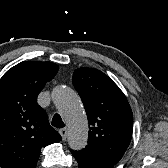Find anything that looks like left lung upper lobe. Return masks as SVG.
I'll return each mask as SVG.
<instances>
[{
    "label": "left lung upper lobe",
    "mask_w": 168,
    "mask_h": 168,
    "mask_svg": "<svg viewBox=\"0 0 168 168\" xmlns=\"http://www.w3.org/2000/svg\"><path fill=\"white\" fill-rule=\"evenodd\" d=\"M72 82L90 125L85 149L118 163L132 138L133 114L125 95L106 74L93 68L76 69Z\"/></svg>",
    "instance_id": "obj_1"
}]
</instances>
